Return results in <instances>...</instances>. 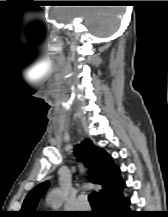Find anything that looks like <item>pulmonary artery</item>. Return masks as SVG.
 Instances as JSON below:
<instances>
[{
	"mask_svg": "<svg viewBox=\"0 0 168 217\" xmlns=\"http://www.w3.org/2000/svg\"><path fill=\"white\" fill-rule=\"evenodd\" d=\"M76 206H77V209H79V210H85V209L89 208L87 201H86V197L83 194H81L77 197Z\"/></svg>",
	"mask_w": 168,
	"mask_h": 217,
	"instance_id": "e3ab8cb5",
	"label": "pulmonary artery"
}]
</instances>
